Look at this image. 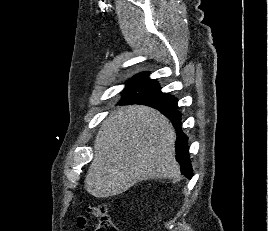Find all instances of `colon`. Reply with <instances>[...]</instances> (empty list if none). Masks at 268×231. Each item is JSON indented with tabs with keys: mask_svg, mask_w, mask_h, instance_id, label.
Masks as SVG:
<instances>
[{
	"mask_svg": "<svg viewBox=\"0 0 268 231\" xmlns=\"http://www.w3.org/2000/svg\"><path fill=\"white\" fill-rule=\"evenodd\" d=\"M93 217L96 218V231H118L113 219L108 215L105 205L96 208Z\"/></svg>",
	"mask_w": 268,
	"mask_h": 231,
	"instance_id": "colon-1",
	"label": "colon"
}]
</instances>
